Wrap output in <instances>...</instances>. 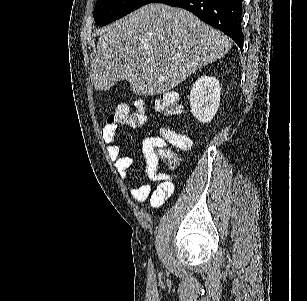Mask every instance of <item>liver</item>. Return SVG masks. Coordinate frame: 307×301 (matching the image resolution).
<instances>
[{"label":"liver","instance_id":"6515ba94","mask_svg":"<svg viewBox=\"0 0 307 301\" xmlns=\"http://www.w3.org/2000/svg\"><path fill=\"white\" fill-rule=\"evenodd\" d=\"M98 34L91 60L96 90L128 80L140 96L171 90L198 68L225 56L233 44L189 10L161 2L141 6L99 28Z\"/></svg>","mask_w":307,"mask_h":301}]
</instances>
